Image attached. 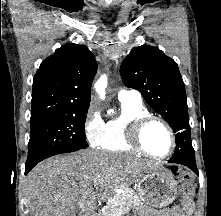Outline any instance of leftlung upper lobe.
<instances>
[{
	"label": "left lung upper lobe",
	"instance_id": "1",
	"mask_svg": "<svg viewBox=\"0 0 221 216\" xmlns=\"http://www.w3.org/2000/svg\"><path fill=\"white\" fill-rule=\"evenodd\" d=\"M120 73L124 84L138 90L176 132V146L193 149L185 85L175 61L157 47H135Z\"/></svg>",
	"mask_w": 221,
	"mask_h": 216
}]
</instances>
